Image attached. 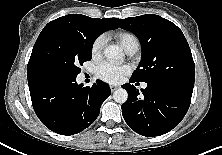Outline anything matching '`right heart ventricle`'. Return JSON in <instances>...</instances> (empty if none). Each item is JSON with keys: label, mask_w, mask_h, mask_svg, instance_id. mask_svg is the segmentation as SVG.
<instances>
[{"label": "right heart ventricle", "mask_w": 222, "mask_h": 155, "mask_svg": "<svg viewBox=\"0 0 222 155\" xmlns=\"http://www.w3.org/2000/svg\"><path fill=\"white\" fill-rule=\"evenodd\" d=\"M115 38L120 45L127 51L131 47H139V41L137 37L128 31H120L115 34Z\"/></svg>", "instance_id": "1"}]
</instances>
